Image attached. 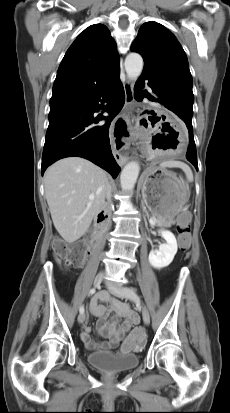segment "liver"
I'll list each match as a JSON object with an SVG mask.
<instances>
[{"instance_id":"6515ba94","label":"liver","mask_w":230,"mask_h":413,"mask_svg":"<svg viewBox=\"0 0 230 413\" xmlns=\"http://www.w3.org/2000/svg\"><path fill=\"white\" fill-rule=\"evenodd\" d=\"M108 185L107 173L80 157L61 159L46 170L45 196L53 224L66 242L73 243L87 232L106 205Z\"/></svg>"}]
</instances>
